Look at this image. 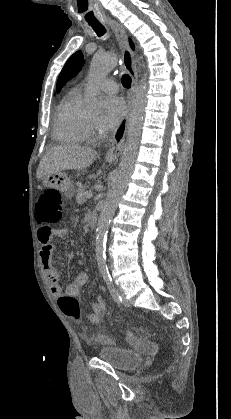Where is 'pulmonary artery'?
Wrapping results in <instances>:
<instances>
[{
  "label": "pulmonary artery",
  "instance_id": "obj_1",
  "mask_svg": "<svg viewBox=\"0 0 231 419\" xmlns=\"http://www.w3.org/2000/svg\"><path fill=\"white\" fill-rule=\"evenodd\" d=\"M98 88L106 93H116L118 85L113 78H106L98 84Z\"/></svg>",
  "mask_w": 231,
  "mask_h": 419
}]
</instances>
